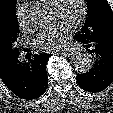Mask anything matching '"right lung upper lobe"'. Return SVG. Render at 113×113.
Wrapping results in <instances>:
<instances>
[{
    "label": "right lung upper lobe",
    "instance_id": "obj_1",
    "mask_svg": "<svg viewBox=\"0 0 113 113\" xmlns=\"http://www.w3.org/2000/svg\"><path fill=\"white\" fill-rule=\"evenodd\" d=\"M11 2H16V0H0V78L4 77L7 67H9L12 62V60L5 54L2 46V36L5 32V23L10 11Z\"/></svg>",
    "mask_w": 113,
    "mask_h": 113
}]
</instances>
